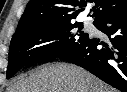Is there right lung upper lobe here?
Returning a JSON list of instances; mask_svg holds the SVG:
<instances>
[{
	"label": "right lung upper lobe",
	"mask_w": 127,
	"mask_h": 92,
	"mask_svg": "<svg viewBox=\"0 0 127 92\" xmlns=\"http://www.w3.org/2000/svg\"><path fill=\"white\" fill-rule=\"evenodd\" d=\"M89 2H95L94 22L127 9V0H30L12 39L33 27L70 24ZM76 7L81 9L76 10Z\"/></svg>",
	"instance_id": "1"
}]
</instances>
